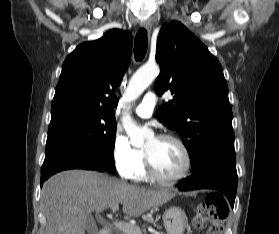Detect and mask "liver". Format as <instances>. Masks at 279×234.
Segmentation results:
<instances>
[{"instance_id":"liver-1","label":"liver","mask_w":279,"mask_h":234,"mask_svg":"<svg viewBox=\"0 0 279 234\" xmlns=\"http://www.w3.org/2000/svg\"><path fill=\"white\" fill-rule=\"evenodd\" d=\"M173 197L166 190L131 185L95 171L60 172L44 183L41 192L47 218L45 234H85L92 212L122 203L126 217H138Z\"/></svg>"}]
</instances>
